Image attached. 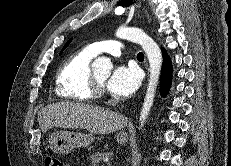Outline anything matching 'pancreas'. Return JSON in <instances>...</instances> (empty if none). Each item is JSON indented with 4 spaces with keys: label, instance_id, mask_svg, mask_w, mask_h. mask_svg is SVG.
Here are the masks:
<instances>
[{
    "label": "pancreas",
    "instance_id": "obj_1",
    "mask_svg": "<svg viewBox=\"0 0 231 166\" xmlns=\"http://www.w3.org/2000/svg\"><path fill=\"white\" fill-rule=\"evenodd\" d=\"M109 156V153L98 152L90 157V163L92 166H99V163H101L104 158H108Z\"/></svg>",
    "mask_w": 231,
    "mask_h": 166
}]
</instances>
